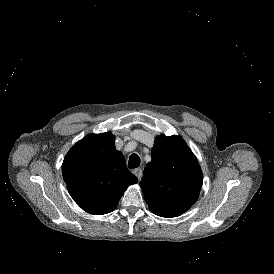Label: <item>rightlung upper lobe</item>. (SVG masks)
<instances>
[{
    "label": "right lung upper lobe",
    "mask_w": 274,
    "mask_h": 274,
    "mask_svg": "<svg viewBox=\"0 0 274 274\" xmlns=\"http://www.w3.org/2000/svg\"><path fill=\"white\" fill-rule=\"evenodd\" d=\"M62 172L71 197L90 214L112 212L127 187L138 182L111 132L78 141L65 156Z\"/></svg>",
    "instance_id": "1"
}]
</instances>
